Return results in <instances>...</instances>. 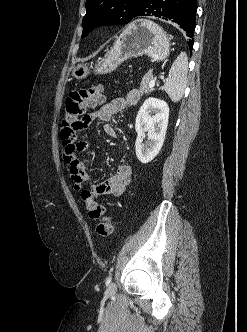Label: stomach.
Segmentation results:
<instances>
[{"mask_svg": "<svg viewBox=\"0 0 247 332\" xmlns=\"http://www.w3.org/2000/svg\"><path fill=\"white\" fill-rule=\"evenodd\" d=\"M169 54L170 41L163 29L150 20L137 19L124 29L111 50L97 62L94 73H111L130 58L147 55L152 62H160ZM89 73L87 64L72 67V76L76 79H84Z\"/></svg>", "mask_w": 247, "mask_h": 332, "instance_id": "0dacf381", "label": "stomach"}]
</instances>
